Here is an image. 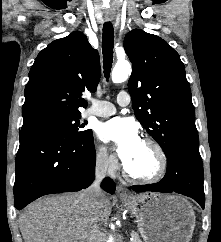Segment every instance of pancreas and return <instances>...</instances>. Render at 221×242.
<instances>
[{
  "label": "pancreas",
  "instance_id": "cf45deb5",
  "mask_svg": "<svg viewBox=\"0 0 221 242\" xmlns=\"http://www.w3.org/2000/svg\"><path fill=\"white\" fill-rule=\"evenodd\" d=\"M131 236L133 237V241L132 242H142L140 237H139V235H138V233L132 232Z\"/></svg>",
  "mask_w": 221,
  "mask_h": 242
}]
</instances>
